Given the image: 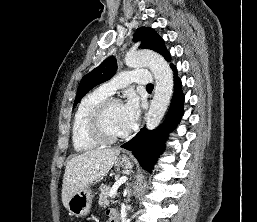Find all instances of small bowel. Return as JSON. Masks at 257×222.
Listing matches in <instances>:
<instances>
[{
  "mask_svg": "<svg viewBox=\"0 0 257 222\" xmlns=\"http://www.w3.org/2000/svg\"><path fill=\"white\" fill-rule=\"evenodd\" d=\"M108 216H109V222H115V221H114L115 215H114L113 212H109V213H108Z\"/></svg>",
  "mask_w": 257,
  "mask_h": 222,
  "instance_id": "1",
  "label": "small bowel"
}]
</instances>
